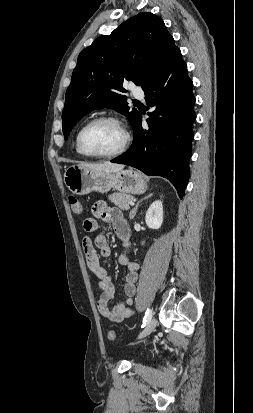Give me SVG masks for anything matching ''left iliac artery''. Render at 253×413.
<instances>
[{"label": "left iliac artery", "mask_w": 253, "mask_h": 413, "mask_svg": "<svg viewBox=\"0 0 253 413\" xmlns=\"http://www.w3.org/2000/svg\"><path fill=\"white\" fill-rule=\"evenodd\" d=\"M152 318V311L150 309H147L145 312V316L143 319V324L142 327L145 326V324Z\"/></svg>", "instance_id": "left-iliac-artery-1"}]
</instances>
